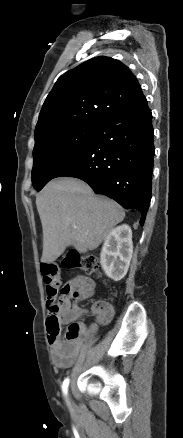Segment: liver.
Returning a JSON list of instances; mask_svg holds the SVG:
<instances>
[{
	"instance_id": "6515ba94",
	"label": "liver",
	"mask_w": 183,
	"mask_h": 438,
	"mask_svg": "<svg viewBox=\"0 0 183 438\" xmlns=\"http://www.w3.org/2000/svg\"><path fill=\"white\" fill-rule=\"evenodd\" d=\"M42 223L41 261H55L72 245L85 253L96 249L125 212L115 201L96 196L84 181L62 177L50 181L36 197Z\"/></svg>"
}]
</instances>
